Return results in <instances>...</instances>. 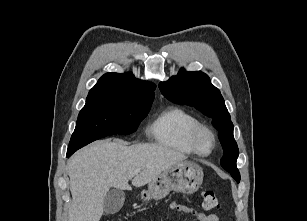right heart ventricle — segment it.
I'll use <instances>...</instances> for the list:
<instances>
[{"label":"right heart ventricle","instance_id":"obj_1","mask_svg":"<svg viewBox=\"0 0 307 221\" xmlns=\"http://www.w3.org/2000/svg\"><path fill=\"white\" fill-rule=\"evenodd\" d=\"M199 120L179 107L161 112L148 127L149 136L159 145L172 151L191 155L195 152L189 144V135Z\"/></svg>","mask_w":307,"mask_h":221}]
</instances>
